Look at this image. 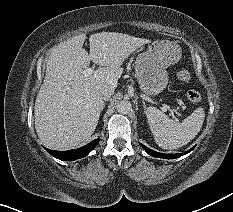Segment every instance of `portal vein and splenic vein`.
I'll return each instance as SVG.
<instances>
[{"label":"portal vein and splenic vein","mask_w":233,"mask_h":212,"mask_svg":"<svg viewBox=\"0 0 233 212\" xmlns=\"http://www.w3.org/2000/svg\"><path fill=\"white\" fill-rule=\"evenodd\" d=\"M93 72H94V69H93V68H86V69L83 71V74H84L85 76H90V75H92ZM161 109H162L163 112H166L167 110H169V111L172 112V115H173V112H174V111L170 108V106L163 104Z\"/></svg>","instance_id":"1"}]
</instances>
